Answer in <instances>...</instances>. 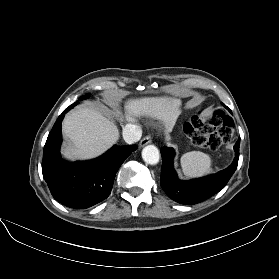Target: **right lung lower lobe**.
<instances>
[{"instance_id":"right-lung-lower-lobe-1","label":"right lung lower lobe","mask_w":279,"mask_h":279,"mask_svg":"<svg viewBox=\"0 0 279 279\" xmlns=\"http://www.w3.org/2000/svg\"><path fill=\"white\" fill-rule=\"evenodd\" d=\"M67 111L58 117L47 138L42 172L57 201L70 208L86 209L109 196L119 167L137 146L115 145L94 160L68 163L60 156L61 122Z\"/></svg>"}]
</instances>
